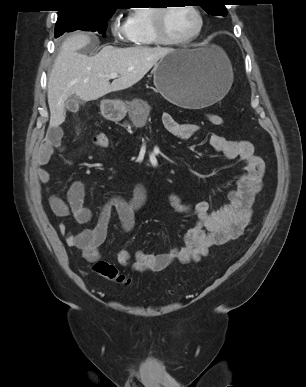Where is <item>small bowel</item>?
I'll use <instances>...</instances> for the list:
<instances>
[{"instance_id": "c3829d8e", "label": "small bowel", "mask_w": 306, "mask_h": 387, "mask_svg": "<svg viewBox=\"0 0 306 387\" xmlns=\"http://www.w3.org/2000/svg\"><path fill=\"white\" fill-rule=\"evenodd\" d=\"M162 123L169 133L182 140L192 138L199 130L196 124L176 121L170 113L162 115ZM61 139L62 129L52 127L40 145L36 157V175L42 183H48L50 180L45 166L54 150L62 149ZM209 144L226 158H239L245 165L236 188L228 194L229 203L211 211L206 201L190 206L183 204L177 195H171V206L177 212H192L196 218L195 225L184 235L182 245L159 254L137 251L132 255L130 251L123 249L117 255L121 266L130 267L140 273L162 271L174 261L184 264L198 261L206 256L212 247L225 245L243 234L250 222L255 198L263 185L264 161L255 153L253 144L247 140L232 141L213 133L209 137ZM84 198V184L74 181L67 191L66 201L50 192L49 205L56 216L63 218L71 215L79 224H87L92 219V211L84 205ZM145 201L146 190L142 185H138L130 199L113 195L106 200L100 207L94 227L71 233L65 223H60L59 232L66 237L69 247L80 249L87 261L96 262L101 257L100 246L107 237L111 210L117 212L122 231L128 233L134 227L136 212Z\"/></svg>"}]
</instances>
